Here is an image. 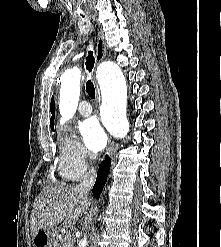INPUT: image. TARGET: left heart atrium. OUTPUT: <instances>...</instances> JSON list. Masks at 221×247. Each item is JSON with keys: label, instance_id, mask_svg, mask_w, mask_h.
Segmentation results:
<instances>
[{"label": "left heart atrium", "instance_id": "1", "mask_svg": "<svg viewBox=\"0 0 221 247\" xmlns=\"http://www.w3.org/2000/svg\"><path fill=\"white\" fill-rule=\"evenodd\" d=\"M81 137L86 147L93 151H101L107 142V136L96 118L84 120L79 127Z\"/></svg>", "mask_w": 221, "mask_h": 247}]
</instances>
